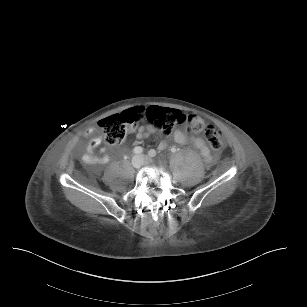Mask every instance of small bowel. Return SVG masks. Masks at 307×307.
<instances>
[{
  "label": "small bowel",
  "mask_w": 307,
  "mask_h": 307,
  "mask_svg": "<svg viewBox=\"0 0 307 307\" xmlns=\"http://www.w3.org/2000/svg\"><path fill=\"white\" fill-rule=\"evenodd\" d=\"M152 130L153 129L151 127H148V128L140 127L138 132H137V138H139V139L146 138ZM86 135L91 137V138L86 145V153L82 157L83 162L86 163V164H104V163H107L109 161V157L106 154L105 148L101 149V152L103 153L102 156H98V155L94 154V151L101 144L100 133L95 128H90L86 131ZM172 136H173L174 141L179 143V144L191 143L197 150H199L202 157L206 161L211 160L210 149L201 137L191 135V134L184 132L182 130H179V129L174 130ZM167 145L168 144H167L166 141H161L159 143V149L164 150V149L167 148Z\"/></svg>",
  "instance_id": "1"
}]
</instances>
